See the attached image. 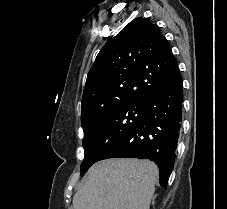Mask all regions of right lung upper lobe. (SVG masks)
<instances>
[{"mask_svg":"<svg viewBox=\"0 0 227 209\" xmlns=\"http://www.w3.org/2000/svg\"><path fill=\"white\" fill-rule=\"evenodd\" d=\"M173 65L177 61L160 28L148 18L134 19L97 55L84 87L81 120L104 111V99L144 102L170 81L157 69Z\"/></svg>","mask_w":227,"mask_h":209,"instance_id":"cb5924a9","label":"right lung upper lobe"}]
</instances>
